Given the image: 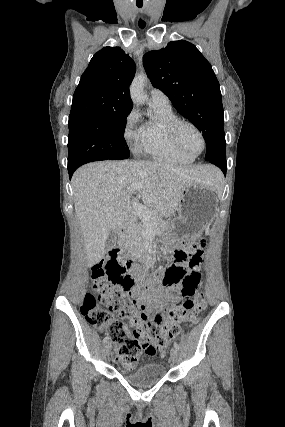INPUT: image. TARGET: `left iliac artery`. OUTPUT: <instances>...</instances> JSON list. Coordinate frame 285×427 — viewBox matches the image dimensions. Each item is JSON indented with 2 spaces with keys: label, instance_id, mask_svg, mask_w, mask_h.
<instances>
[{
  "label": "left iliac artery",
  "instance_id": "1",
  "mask_svg": "<svg viewBox=\"0 0 285 427\" xmlns=\"http://www.w3.org/2000/svg\"><path fill=\"white\" fill-rule=\"evenodd\" d=\"M174 347L179 350V345L176 342H174Z\"/></svg>",
  "mask_w": 285,
  "mask_h": 427
}]
</instances>
